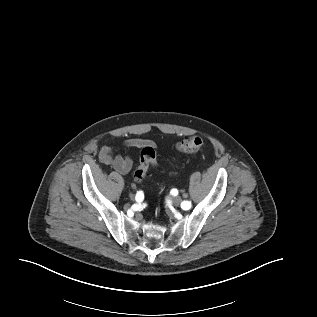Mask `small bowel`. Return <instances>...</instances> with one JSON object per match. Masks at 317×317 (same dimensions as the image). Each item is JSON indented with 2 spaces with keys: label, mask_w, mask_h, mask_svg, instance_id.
<instances>
[{
  "label": "small bowel",
  "mask_w": 317,
  "mask_h": 317,
  "mask_svg": "<svg viewBox=\"0 0 317 317\" xmlns=\"http://www.w3.org/2000/svg\"><path fill=\"white\" fill-rule=\"evenodd\" d=\"M147 144V140L133 138L125 140L123 146L126 149H132L141 148ZM99 159L103 164L111 166L120 174L129 173L133 166V160L129 155L116 154L113 148L107 145L100 148Z\"/></svg>",
  "instance_id": "obj_1"
}]
</instances>
